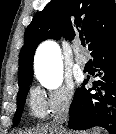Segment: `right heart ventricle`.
Wrapping results in <instances>:
<instances>
[{
	"label": "right heart ventricle",
	"mask_w": 116,
	"mask_h": 134,
	"mask_svg": "<svg viewBox=\"0 0 116 134\" xmlns=\"http://www.w3.org/2000/svg\"><path fill=\"white\" fill-rule=\"evenodd\" d=\"M29 106L31 113L34 116L43 117L45 115L41 101L36 97V95L33 92L30 95Z\"/></svg>",
	"instance_id": "e07e8e85"
}]
</instances>
